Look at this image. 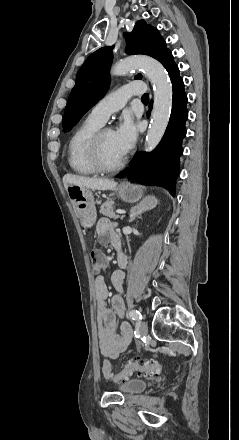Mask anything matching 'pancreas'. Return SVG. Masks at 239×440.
I'll use <instances>...</instances> for the list:
<instances>
[{"label":"pancreas","mask_w":239,"mask_h":440,"mask_svg":"<svg viewBox=\"0 0 239 440\" xmlns=\"http://www.w3.org/2000/svg\"><path fill=\"white\" fill-rule=\"evenodd\" d=\"M113 204L114 202H109V200H107V202H104V204H102L99 212L100 214H102V216H107V218H114V220H117L119 216H116Z\"/></svg>","instance_id":"pancreas-1"}]
</instances>
